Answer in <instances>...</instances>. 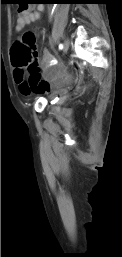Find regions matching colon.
<instances>
[{
  "label": "colon",
  "mask_w": 122,
  "mask_h": 257,
  "mask_svg": "<svg viewBox=\"0 0 122 257\" xmlns=\"http://www.w3.org/2000/svg\"><path fill=\"white\" fill-rule=\"evenodd\" d=\"M28 10V5H19V11ZM13 65L19 69H26L32 79H36L40 69L37 62L35 36L32 32H26L15 42L11 49ZM76 73L70 72L68 80L74 81Z\"/></svg>",
  "instance_id": "5ec220e1"
}]
</instances>
